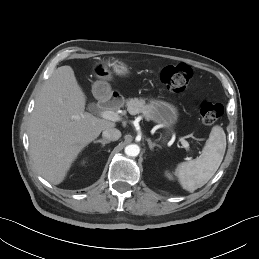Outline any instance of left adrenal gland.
<instances>
[{
	"mask_svg": "<svg viewBox=\"0 0 259 259\" xmlns=\"http://www.w3.org/2000/svg\"><path fill=\"white\" fill-rule=\"evenodd\" d=\"M147 142L151 151L154 149V147H159V145L153 143L150 139H147Z\"/></svg>",
	"mask_w": 259,
	"mask_h": 259,
	"instance_id": "obj_1",
	"label": "left adrenal gland"
}]
</instances>
